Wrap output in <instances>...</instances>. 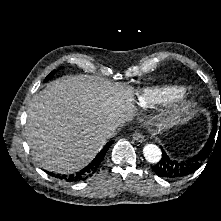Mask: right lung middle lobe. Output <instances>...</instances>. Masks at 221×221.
<instances>
[{"mask_svg": "<svg viewBox=\"0 0 221 221\" xmlns=\"http://www.w3.org/2000/svg\"><path fill=\"white\" fill-rule=\"evenodd\" d=\"M54 74H55V70L52 71V72L46 77L45 81H48L49 79H51V78L54 76Z\"/></svg>", "mask_w": 221, "mask_h": 221, "instance_id": "obj_1", "label": "right lung middle lobe"}]
</instances>
